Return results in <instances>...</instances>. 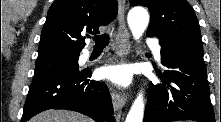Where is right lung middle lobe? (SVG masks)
Masks as SVG:
<instances>
[{
	"instance_id": "right-lung-middle-lobe-1",
	"label": "right lung middle lobe",
	"mask_w": 221,
	"mask_h": 122,
	"mask_svg": "<svg viewBox=\"0 0 221 122\" xmlns=\"http://www.w3.org/2000/svg\"><path fill=\"white\" fill-rule=\"evenodd\" d=\"M78 59L79 55L39 59L35 64L33 78H40L59 72L78 71Z\"/></svg>"
}]
</instances>
